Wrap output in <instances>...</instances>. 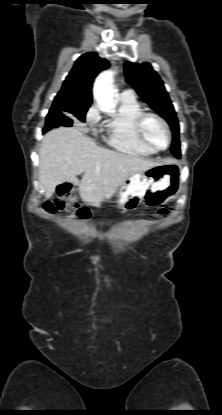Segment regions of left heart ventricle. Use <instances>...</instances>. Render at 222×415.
<instances>
[{
	"mask_svg": "<svg viewBox=\"0 0 222 415\" xmlns=\"http://www.w3.org/2000/svg\"><path fill=\"white\" fill-rule=\"evenodd\" d=\"M145 134L155 145L164 147L167 144V134L163 125L154 118H149L145 123Z\"/></svg>",
	"mask_w": 222,
	"mask_h": 415,
	"instance_id": "b2bd125f",
	"label": "left heart ventricle"
}]
</instances>
